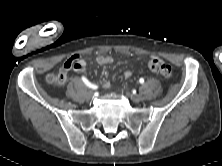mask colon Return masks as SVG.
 Instances as JSON below:
<instances>
[{
  "label": "colon",
  "mask_w": 222,
  "mask_h": 166,
  "mask_svg": "<svg viewBox=\"0 0 222 166\" xmlns=\"http://www.w3.org/2000/svg\"><path fill=\"white\" fill-rule=\"evenodd\" d=\"M146 67L149 71L158 74L164 78H169L172 75V68L163 60L152 57L146 62ZM67 79V73L60 71L58 73H51L47 76L46 80L50 84L61 85Z\"/></svg>",
  "instance_id": "colon-1"
}]
</instances>
